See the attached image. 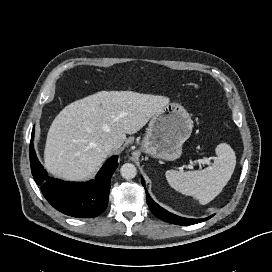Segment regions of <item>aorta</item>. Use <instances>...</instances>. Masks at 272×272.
<instances>
[{
    "mask_svg": "<svg viewBox=\"0 0 272 272\" xmlns=\"http://www.w3.org/2000/svg\"><path fill=\"white\" fill-rule=\"evenodd\" d=\"M120 173L125 179H133L137 174V169L134 164L126 163L121 166Z\"/></svg>",
    "mask_w": 272,
    "mask_h": 272,
    "instance_id": "obj_1",
    "label": "aorta"
}]
</instances>
